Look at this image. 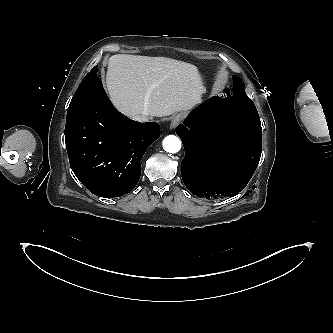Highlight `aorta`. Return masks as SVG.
Returning <instances> with one entry per match:
<instances>
[{"label": "aorta", "mask_w": 333, "mask_h": 333, "mask_svg": "<svg viewBox=\"0 0 333 333\" xmlns=\"http://www.w3.org/2000/svg\"><path fill=\"white\" fill-rule=\"evenodd\" d=\"M163 149L169 153H177L181 149V141L177 136L169 135L163 140Z\"/></svg>", "instance_id": "aorta-1"}]
</instances>
